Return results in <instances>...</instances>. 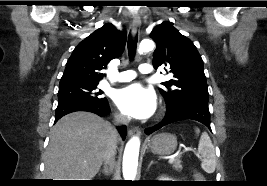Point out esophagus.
I'll list each match as a JSON object with an SVG mask.
<instances>
[{
  "label": "esophagus",
  "instance_id": "obj_1",
  "mask_svg": "<svg viewBox=\"0 0 267 186\" xmlns=\"http://www.w3.org/2000/svg\"><path fill=\"white\" fill-rule=\"evenodd\" d=\"M141 25V18L139 16H134L133 20H132V29L133 32L135 33L137 31V29L140 27ZM141 131L139 128H131L128 130V136L132 137V136H138L140 135Z\"/></svg>",
  "mask_w": 267,
  "mask_h": 186
}]
</instances>
